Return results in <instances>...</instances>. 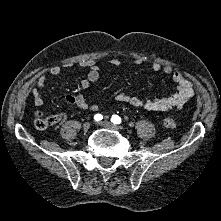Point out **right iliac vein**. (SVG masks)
Returning <instances> with one entry per match:
<instances>
[{"label": "right iliac vein", "instance_id": "obj_1", "mask_svg": "<svg viewBox=\"0 0 221 221\" xmlns=\"http://www.w3.org/2000/svg\"><path fill=\"white\" fill-rule=\"evenodd\" d=\"M82 128L84 132H87L90 129V123L88 122L84 123Z\"/></svg>", "mask_w": 221, "mask_h": 221}]
</instances>
